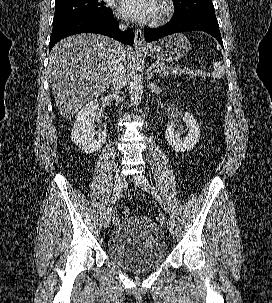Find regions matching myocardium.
Instances as JSON below:
<instances>
[{
    "label": "myocardium",
    "instance_id": "obj_1",
    "mask_svg": "<svg viewBox=\"0 0 272 303\" xmlns=\"http://www.w3.org/2000/svg\"><path fill=\"white\" fill-rule=\"evenodd\" d=\"M161 12L155 18L154 24H161L168 21L174 14V4L172 0H160Z\"/></svg>",
    "mask_w": 272,
    "mask_h": 303
}]
</instances>
